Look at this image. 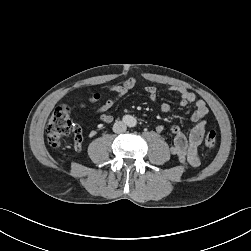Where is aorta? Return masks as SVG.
<instances>
[{
    "label": "aorta",
    "mask_w": 251,
    "mask_h": 251,
    "mask_svg": "<svg viewBox=\"0 0 251 251\" xmlns=\"http://www.w3.org/2000/svg\"><path fill=\"white\" fill-rule=\"evenodd\" d=\"M137 123V120L136 118L132 117V116H129V119H128V126L130 127H134Z\"/></svg>",
    "instance_id": "obj_1"
}]
</instances>
